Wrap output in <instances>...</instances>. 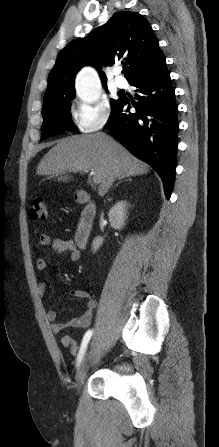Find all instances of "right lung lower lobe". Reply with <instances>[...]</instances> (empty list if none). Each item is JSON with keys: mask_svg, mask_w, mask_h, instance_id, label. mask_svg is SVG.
Here are the masks:
<instances>
[{"mask_svg": "<svg viewBox=\"0 0 219 447\" xmlns=\"http://www.w3.org/2000/svg\"><path fill=\"white\" fill-rule=\"evenodd\" d=\"M131 85L140 93L133 104L137 112L130 113L129 100L121 97L107 125L116 140L156 170L169 199L175 179L178 117L166 61Z\"/></svg>", "mask_w": 219, "mask_h": 447, "instance_id": "obj_1", "label": "right lung lower lobe"}]
</instances>
